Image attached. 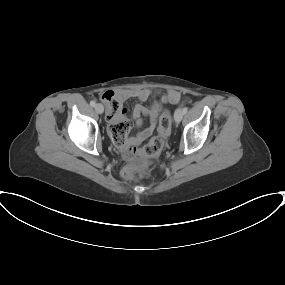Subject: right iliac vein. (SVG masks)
Instances as JSON below:
<instances>
[{
  "label": "right iliac vein",
  "mask_w": 285,
  "mask_h": 285,
  "mask_svg": "<svg viewBox=\"0 0 285 285\" xmlns=\"http://www.w3.org/2000/svg\"><path fill=\"white\" fill-rule=\"evenodd\" d=\"M95 111H96L98 114H102L103 111H104L103 105H101V104H96V105H95Z\"/></svg>",
  "instance_id": "obj_1"
}]
</instances>
